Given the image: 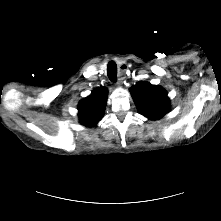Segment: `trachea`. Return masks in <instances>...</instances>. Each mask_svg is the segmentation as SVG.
<instances>
[{
	"label": "trachea",
	"instance_id": "obj_1",
	"mask_svg": "<svg viewBox=\"0 0 221 221\" xmlns=\"http://www.w3.org/2000/svg\"><path fill=\"white\" fill-rule=\"evenodd\" d=\"M108 77L112 82L117 80V65L114 61H110L107 66Z\"/></svg>",
	"mask_w": 221,
	"mask_h": 221
}]
</instances>
